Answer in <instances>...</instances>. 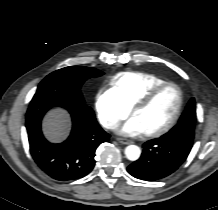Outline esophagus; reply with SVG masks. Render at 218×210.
Segmentation results:
<instances>
[{
	"mask_svg": "<svg viewBox=\"0 0 218 210\" xmlns=\"http://www.w3.org/2000/svg\"><path fill=\"white\" fill-rule=\"evenodd\" d=\"M117 141L121 144H125V145H128V144H131L132 141L130 140H127V139H123V138H117Z\"/></svg>",
	"mask_w": 218,
	"mask_h": 210,
	"instance_id": "1",
	"label": "esophagus"
}]
</instances>
